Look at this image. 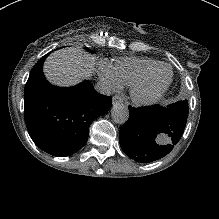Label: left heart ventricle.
<instances>
[{
  "label": "left heart ventricle",
  "instance_id": "obj_1",
  "mask_svg": "<svg viewBox=\"0 0 219 219\" xmlns=\"http://www.w3.org/2000/svg\"><path fill=\"white\" fill-rule=\"evenodd\" d=\"M169 78V70L167 68L158 69L148 80L146 85L140 90V95L149 96L160 90Z\"/></svg>",
  "mask_w": 219,
  "mask_h": 219
}]
</instances>
